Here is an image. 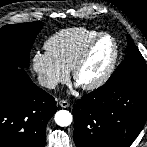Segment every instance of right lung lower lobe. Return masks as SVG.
I'll use <instances>...</instances> for the list:
<instances>
[{"instance_id":"1","label":"right lung lower lobe","mask_w":147,"mask_h":147,"mask_svg":"<svg viewBox=\"0 0 147 147\" xmlns=\"http://www.w3.org/2000/svg\"><path fill=\"white\" fill-rule=\"evenodd\" d=\"M55 112L54 98L25 70L0 61V147H43L46 125Z\"/></svg>"}]
</instances>
